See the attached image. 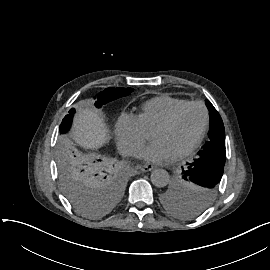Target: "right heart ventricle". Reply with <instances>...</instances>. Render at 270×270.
I'll return each mask as SVG.
<instances>
[{
  "instance_id": "obj_1",
  "label": "right heart ventricle",
  "mask_w": 270,
  "mask_h": 270,
  "mask_svg": "<svg viewBox=\"0 0 270 270\" xmlns=\"http://www.w3.org/2000/svg\"><path fill=\"white\" fill-rule=\"evenodd\" d=\"M188 103L187 100L168 95L155 97L140 107V112L133 116L145 132L153 130L157 124L169 118L176 110Z\"/></svg>"
}]
</instances>
